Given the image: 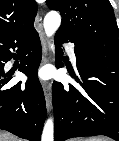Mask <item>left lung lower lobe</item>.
<instances>
[{"label": "left lung lower lobe", "mask_w": 119, "mask_h": 141, "mask_svg": "<svg viewBox=\"0 0 119 141\" xmlns=\"http://www.w3.org/2000/svg\"><path fill=\"white\" fill-rule=\"evenodd\" d=\"M54 40L57 68L63 66V50L58 48L65 42L75 44L79 77L72 75L80 84L53 83L54 140L105 135L119 141V59L91 56L65 33H56Z\"/></svg>", "instance_id": "1"}]
</instances>
